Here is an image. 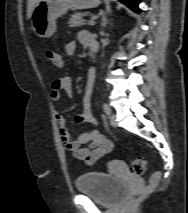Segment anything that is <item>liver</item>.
Returning a JSON list of instances; mask_svg holds the SVG:
<instances>
[{"instance_id": "obj_1", "label": "liver", "mask_w": 188, "mask_h": 213, "mask_svg": "<svg viewBox=\"0 0 188 213\" xmlns=\"http://www.w3.org/2000/svg\"><path fill=\"white\" fill-rule=\"evenodd\" d=\"M40 0H28L27 3V18L30 19L33 9L35 7V5L39 2Z\"/></svg>"}]
</instances>
